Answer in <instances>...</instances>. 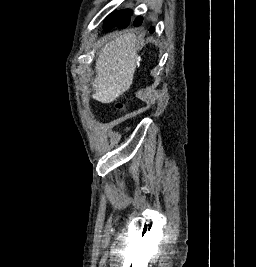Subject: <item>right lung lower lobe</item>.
<instances>
[{
	"label": "right lung lower lobe",
	"instance_id": "1",
	"mask_svg": "<svg viewBox=\"0 0 256 267\" xmlns=\"http://www.w3.org/2000/svg\"><path fill=\"white\" fill-rule=\"evenodd\" d=\"M130 17L128 19L124 20L122 23L117 24L116 26L120 27V28H125L130 24H133L134 26H140L142 24V21H143L142 17H138L137 19L134 20V22H131V18ZM149 31H150V33H153L154 32V28L151 27L149 29Z\"/></svg>",
	"mask_w": 256,
	"mask_h": 267
}]
</instances>
